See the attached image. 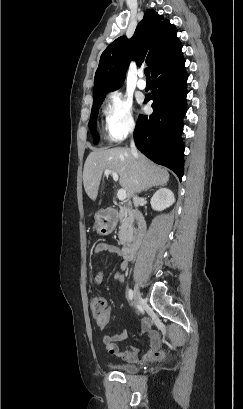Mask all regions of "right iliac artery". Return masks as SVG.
<instances>
[{"label": "right iliac artery", "instance_id": "82829eb1", "mask_svg": "<svg viewBox=\"0 0 243 409\" xmlns=\"http://www.w3.org/2000/svg\"><path fill=\"white\" fill-rule=\"evenodd\" d=\"M128 297H129V300H133V291L131 290V289H129V291H128Z\"/></svg>", "mask_w": 243, "mask_h": 409}]
</instances>
